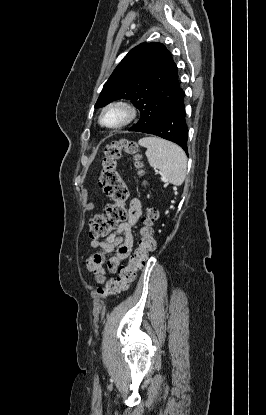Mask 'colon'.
I'll list each match as a JSON object with an SVG mask.
<instances>
[{"label":"colon","instance_id":"5ec220e1","mask_svg":"<svg viewBox=\"0 0 266 415\" xmlns=\"http://www.w3.org/2000/svg\"><path fill=\"white\" fill-rule=\"evenodd\" d=\"M123 152L132 156L135 167L142 172L139 148L134 141L121 139L109 143L104 148L99 186L112 202L106 206L102 214L90 220L89 234L93 239L109 236L117 225L127 218L125 202L128 189L117 168ZM156 219L157 211L149 209L142 221L137 248L130 256L128 264L119 269L117 277L110 279L104 287L98 289L101 297L121 294L136 280L138 271L145 264L149 253L155 249L153 223Z\"/></svg>","mask_w":266,"mask_h":415}]
</instances>
